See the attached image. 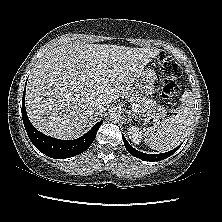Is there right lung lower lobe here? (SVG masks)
<instances>
[{"instance_id":"98d812e1","label":"right lung lower lobe","mask_w":222,"mask_h":222,"mask_svg":"<svg viewBox=\"0 0 222 222\" xmlns=\"http://www.w3.org/2000/svg\"><path fill=\"white\" fill-rule=\"evenodd\" d=\"M22 119L26 132L36 148L45 155L55 159L70 158L84 152L94 141L97 131L102 124V121L98 122L86 134L75 140H60L49 137L35 129L29 121L25 108V90L22 99Z\"/></svg>"}]
</instances>
